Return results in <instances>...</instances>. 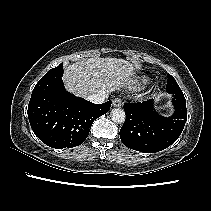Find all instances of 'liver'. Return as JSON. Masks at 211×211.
I'll return each mask as SVG.
<instances>
[{
  "mask_svg": "<svg viewBox=\"0 0 211 211\" xmlns=\"http://www.w3.org/2000/svg\"><path fill=\"white\" fill-rule=\"evenodd\" d=\"M134 70V66L124 59L92 57L65 66L63 81L69 92L86 98L131 85Z\"/></svg>",
  "mask_w": 211,
  "mask_h": 211,
  "instance_id": "liver-1",
  "label": "liver"
}]
</instances>
